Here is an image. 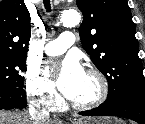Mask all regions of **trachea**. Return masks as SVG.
Returning <instances> with one entry per match:
<instances>
[{
  "instance_id": "3493384b",
  "label": "trachea",
  "mask_w": 145,
  "mask_h": 124,
  "mask_svg": "<svg viewBox=\"0 0 145 124\" xmlns=\"http://www.w3.org/2000/svg\"><path fill=\"white\" fill-rule=\"evenodd\" d=\"M44 5H45L47 12H50L51 11L50 0H44Z\"/></svg>"
}]
</instances>
